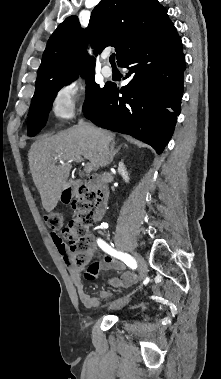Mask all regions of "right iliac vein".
Instances as JSON below:
<instances>
[{
    "instance_id": "63e3f726",
    "label": "right iliac vein",
    "mask_w": 221,
    "mask_h": 379,
    "mask_svg": "<svg viewBox=\"0 0 221 379\" xmlns=\"http://www.w3.org/2000/svg\"><path fill=\"white\" fill-rule=\"evenodd\" d=\"M134 256H135L137 263H138L140 278L143 279L147 274V266H146L145 260L138 253H135ZM127 302H128V299L117 300V301L113 302L111 307H120V306H123L124 304H126Z\"/></svg>"
}]
</instances>
